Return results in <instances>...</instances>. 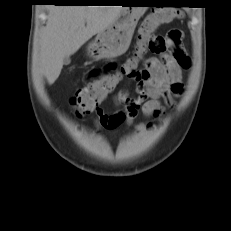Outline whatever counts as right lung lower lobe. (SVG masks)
Returning a JSON list of instances; mask_svg holds the SVG:
<instances>
[{"label":"right lung lower lobe","instance_id":"98d812e1","mask_svg":"<svg viewBox=\"0 0 231 231\" xmlns=\"http://www.w3.org/2000/svg\"><path fill=\"white\" fill-rule=\"evenodd\" d=\"M49 2H54L58 5H68V4H74L75 2L71 0H48Z\"/></svg>","mask_w":231,"mask_h":231}]
</instances>
